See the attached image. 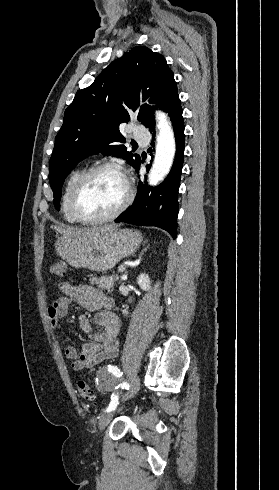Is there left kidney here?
<instances>
[{
    "instance_id": "obj_1",
    "label": "left kidney",
    "mask_w": 279,
    "mask_h": 490,
    "mask_svg": "<svg viewBox=\"0 0 279 490\" xmlns=\"http://www.w3.org/2000/svg\"><path fill=\"white\" fill-rule=\"evenodd\" d=\"M137 284L138 286H140L143 292H148V290H150L151 288V282L148 274H140V276H138L137 278ZM123 308L124 310H121L122 314H124V316H128L129 314L128 306H123Z\"/></svg>"
}]
</instances>
